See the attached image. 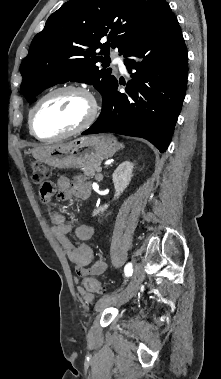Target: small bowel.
I'll return each instance as SVG.
<instances>
[{
  "mask_svg": "<svg viewBox=\"0 0 221 379\" xmlns=\"http://www.w3.org/2000/svg\"><path fill=\"white\" fill-rule=\"evenodd\" d=\"M56 189L61 200L86 199L91 192L90 184L87 181L77 180L72 182L67 177H60L56 186L52 184L51 190L46 195H40L41 201L45 205L50 203ZM50 214L53 222L52 234L65 251L68 259L74 264L77 275L87 276L104 273L107 270L106 262L103 259H99L91 264L94 257L92 248L86 243H76L71 237L73 232L81 241L90 240L95 232L94 227L87 223L74 226L66 221L63 214L54 210H50ZM79 292L86 300H91V295L86 293L84 289L79 288Z\"/></svg>",
  "mask_w": 221,
  "mask_h": 379,
  "instance_id": "1",
  "label": "small bowel"
}]
</instances>
